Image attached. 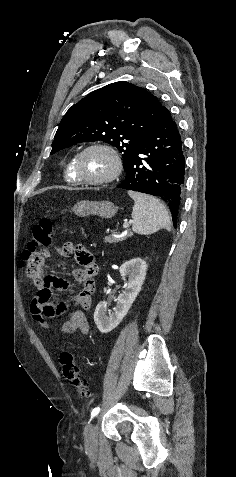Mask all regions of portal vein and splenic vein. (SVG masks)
Instances as JSON below:
<instances>
[{
	"mask_svg": "<svg viewBox=\"0 0 236 477\" xmlns=\"http://www.w3.org/2000/svg\"><path fill=\"white\" fill-rule=\"evenodd\" d=\"M128 227H129V223H128V222H125V223L123 224V228H124L125 230H127Z\"/></svg>",
	"mask_w": 236,
	"mask_h": 477,
	"instance_id": "obj_1",
	"label": "portal vein and splenic vein"
}]
</instances>
